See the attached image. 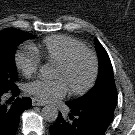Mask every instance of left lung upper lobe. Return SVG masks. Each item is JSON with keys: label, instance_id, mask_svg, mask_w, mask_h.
<instances>
[{"label": "left lung upper lobe", "instance_id": "5c2ea615", "mask_svg": "<svg viewBox=\"0 0 135 135\" xmlns=\"http://www.w3.org/2000/svg\"><path fill=\"white\" fill-rule=\"evenodd\" d=\"M96 48L100 65L97 82L86 95L77 100L70 101L74 105L93 104L97 102H112L114 105L117 104V92L110 58L98 40H96Z\"/></svg>", "mask_w": 135, "mask_h": 135}]
</instances>
